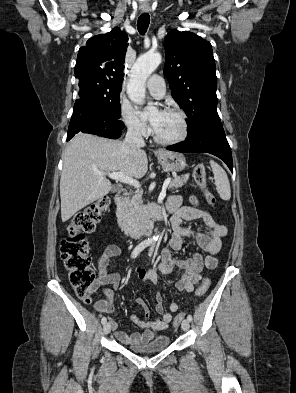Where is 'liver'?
<instances>
[{
  "label": "liver",
  "instance_id": "obj_1",
  "mask_svg": "<svg viewBox=\"0 0 296 393\" xmlns=\"http://www.w3.org/2000/svg\"><path fill=\"white\" fill-rule=\"evenodd\" d=\"M122 146V141L81 132L68 143L63 153L60 178L63 222L111 191L110 181L105 175H96V172H120L135 178H141L146 174V152L138 149L130 154L125 152Z\"/></svg>",
  "mask_w": 296,
  "mask_h": 393
}]
</instances>
